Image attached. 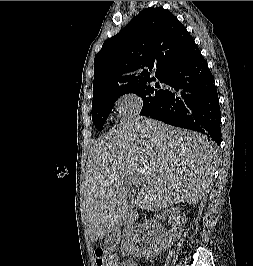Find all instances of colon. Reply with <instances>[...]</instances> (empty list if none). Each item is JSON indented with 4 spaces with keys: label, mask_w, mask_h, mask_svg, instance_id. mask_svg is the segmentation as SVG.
<instances>
[{
    "label": "colon",
    "mask_w": 253,
    "mask_h": 266,
    "mask_svg": "<svg viewBox=\"0 0 253 266\" xmlns=\"http://www.w3.org/2000/svg\"><path fill=\"white\" fill-rule=\"evenodd\" d=\"M95 262L97 266H118L117 257L101 248L95 252Z\"/></svg>",
    "instance_id": "5ec220e1"
}]
</instances>
